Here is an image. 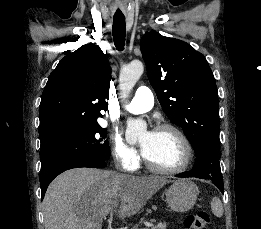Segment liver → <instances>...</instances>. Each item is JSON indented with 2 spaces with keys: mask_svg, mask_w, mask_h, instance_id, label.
<instances>
[{
  "mask_svg": "<svg viewBox=\"0 0 261 229\" xmlns=\"http://www.w3.org/2000/svg\"><path fill=\"white\" fill-rule=\"evenodd\" d=\"M166 183L170 181L164 177L70 169L54 179L46 191L45 229H102L103 217L109 213H116L118 219L136 215ZM113 207H117L116 211Z\"/></svg>",
  "mask_w": 261,
  "mask_h": 229,
  "instance_id": "liver-1",
  "label": "liver"
}]
</instances>
